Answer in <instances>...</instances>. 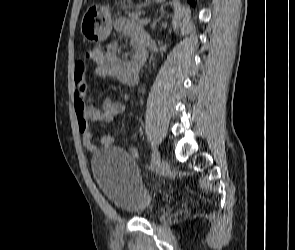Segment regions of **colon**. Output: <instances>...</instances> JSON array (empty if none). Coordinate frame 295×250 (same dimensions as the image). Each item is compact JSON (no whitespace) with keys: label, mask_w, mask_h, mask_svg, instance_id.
Listing matches in <instances>:
<instances>
[{"label":"colon","mask_w":295,"mask_h":250,"mask_svg":"<svg viewBox=\"0 0 295 250\" xmlns=\"http://www.w3.org/2000/svg\"><path fill=\"white\" fill-rule=\"evenodd\" d=\"M93 50L94 48H90V47H87L85 50H84V54L86 57L90 58L92 53H93Z\"/></svg>","instance_id":"colon-1"}]
</instances>
